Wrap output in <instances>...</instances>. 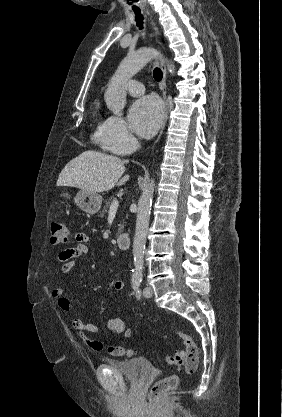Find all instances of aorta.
I'll return each instance as SVG.
<instances>
[{
    "instance_id": "aorta-1",
    "label": "aorta",
    "mask_w": 282,
    "mask_h": 417,
    "mask_svg": "<svg viewBox=\"0 0 282 417\" xmlns=\"http://www.w3.org/2000/svg\"><path fill=\"white\" fill-rule=\"evenodd\" d=\"M152 56H160L155 48H139L134 54H129L121 60L117 70L111 76L108 88L104 94L105 102L116 116H122V110L126 104L127 80L139 72ZM167 62V70L174 74V64ZM155 188V180H149L145 190H143L137 209L136 229L132 245L133 253V279H142L144 269V251L149 229L150 213Z\"/></svg>"
}]
</instances>
